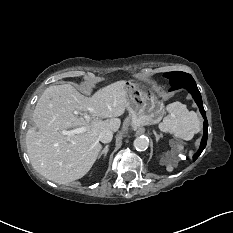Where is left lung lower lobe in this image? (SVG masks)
Returning a JSON list of instances; mask_svg holds the SVG:
<instances>
[{
	"label": "left lung lower lobe",
	"instance_id": "obj_1",
	"mask_svg": "<svg viewBox=\"0 0 233 233\" xmlns=\"http://www.w3.org/2000/svg\"><path fill=\"white\" fill-rule=\"evenodd\" d=\"M172 87L170 88L171 90H175V89H179V88H186L193 96L195 102L197 103L199 110L204 118V136L202 138L201 144H200V148L198 150L197 153L194 154L193 156V160L195 161L199 155L202 153V151L204 150L206 144H207V136H208V122L206 119V114H205V110L203 108V103H202V98H201V94L197 88V85L195 84L194 79L193 80H186V81H182L179 83H174L173 85H171Z\"/></svg>",
	"mask_w": 233,
	"mask_h": 233
}]
</instances>
